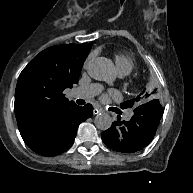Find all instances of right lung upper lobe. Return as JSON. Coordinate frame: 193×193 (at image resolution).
<instances>
[{
  "label": "right lung upper lobe",
  "mask_w": 193,
  "mask_h": 193,
  "mask_svg": "<svg viewBox=\"0 0 193 193\" xmlns=\"http://www.w3.org/2000/svg\"><path fill=\"white\" fill-rule=\"evenodd\" d=\"M90 48L88 43L52 46L24 68L14 104L20 134L50 128L77 106L62 92L78 83Z\"/></svg>",
  "instance_id": "right-lung-upper-lobe-1"
}]
</instances>
